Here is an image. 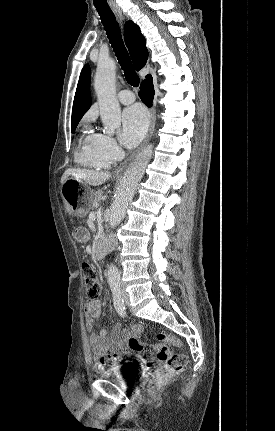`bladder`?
Instances as JSON below:
<instances>
[{"instance_id":"1","label":"bladder","mask_w":275,"mask_h":431,"mask_svg":"<svg viewBox=\"0 0 275 431\" xmlns=\"http://www.w3.org/2000/svg\"><path fill=\"white\" fill-rule=\"evenodd\" d=\"M129 369H133L131 366H127V365H117L107 371L101 372L100 376L101 377H114L116 379H118L119 381H122L124 383H127L128 378H127V373Z\"/></svg>"}]
</instances>
